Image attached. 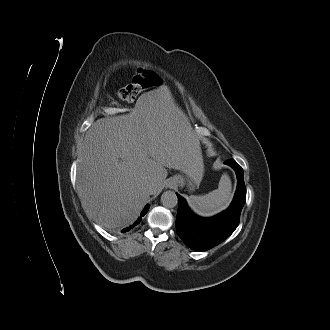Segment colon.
Wrapping results in <instances>:
<instances>
[{
  "label": "colon",
  "mask_w": 330,
  "mask_h": 330,
  "mask_svg": "<svg viewBox=\"0 0 330 330\" xmlns=\"http://www.w3.org/2000/svg\"><path fill=\"white\" fill-rule=\"evenodd\" d=\"M158 82L159 77L153 71L139 69L133 82L120 88L118 97L123 101H132L141 91L156 85Z\"/></svg>",
  "instance_id": "1"
}]
</instances>
